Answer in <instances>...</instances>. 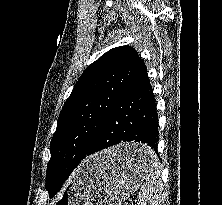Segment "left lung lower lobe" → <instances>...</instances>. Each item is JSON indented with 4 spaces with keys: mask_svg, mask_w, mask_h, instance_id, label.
I'll list each match as a JSON object with an SVG mask.
<instances>
[{
    "mask_svg": "<svg viewBox=\"0 0 222 205\" xmlns=\"http://www.w3.org/2000/svg\"><path fill=\"white\" fill-rule=\"evenodd\" d=\"M142 142L157 153L158 116L156 101L152 93L145 63L142 61L133 73L128 85L109 111L89 150L83 155L68 151L57 162V169L64 173L50 193L53 197L71 172L86 157L100 150L122 142ZM129 151L121 156L122 162L132 165H146L151 161L153 151Z\"/></svg>",
    "mask_w": 222,
    "mask_h": 205,
    "instance_id": "1",
    "label": "left lung lower lobe"
}]
</instances>
